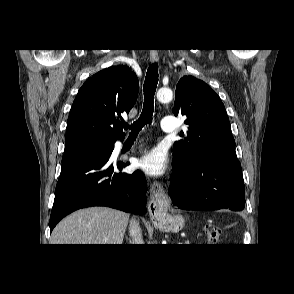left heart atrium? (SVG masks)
<instances>
[{
	"label": "left heart atrium",
	"mask_w": 294,
	"mask_h": 294,
	"mask_svg": "<svg viewBox=\"0 0 294 294\" xmlns=\"http://www.w3.org/2000/svg\"><path fill=\"white\" fill-rule=\"evenodd\" d=\"M142 171L150 175H161L167 168L166 154L161 148H154L138 160Z\"/></svg>",
	"instance_id": "1"
}]
</instances>
